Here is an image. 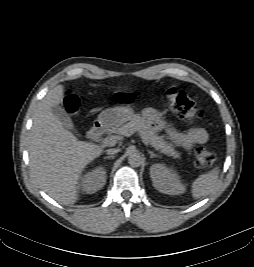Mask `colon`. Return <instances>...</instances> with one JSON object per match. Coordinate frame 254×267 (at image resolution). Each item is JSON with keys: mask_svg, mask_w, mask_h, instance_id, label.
<instances>
[{"mask_svg": "<svg viewBox=\"0 0 254 267\" xmlns=\"http://www.w3.org/2000/svg\"><path fill=\"white\" fill-rule=\"evenodd\" d=\"M166 98L170 109L180 118L193 119L200 118L202 113L200 112L196 102L189 97L184 91L175 87L169 88L166 91ZM118 102H130L132 96L126 93H118L115 97ZM79 99L72 93H67L64 98L65 109L73 114L79 109ZM195 165L199 168H207L214 164L215 154L203 147H199L194 152Z\"/></svg>", "mask_w": 254, "mask_h": 267, "instance_id": "obj_1", "label": "colon"}]
</instances>
